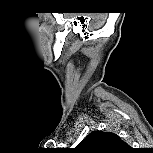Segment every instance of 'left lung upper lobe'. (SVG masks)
I'll use <instances>...</instances> for the list:
<instances>
[{
    "label": "left lung upper lobe",
    "instance_id": "left-lung-upper-lobe-1",
    "mask_svg": "<svg viewBox=\"0 0 153 153\" xmlns=\"http://www.w3.org/2000/svg\"><path fill=\"white\" fill-rule=\"evenodd\" d=\"M127 147L120 137L111 132L93 131L76 147L82 153H116Z\"/></svg>",
    "mask_w": 153,
    "mask_h": 153
}]
</instances>
